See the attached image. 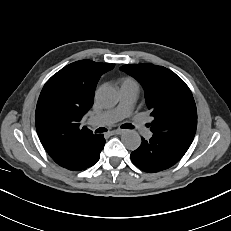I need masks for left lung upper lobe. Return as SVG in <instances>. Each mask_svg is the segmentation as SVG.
Instances as JSON below:
<instances>
[{
	"label": "left lung upper lobe",
	"mask_w": 231,
	"mask_h": 231,
	"mask_svg": "<svg viewBox=\"0 0 231 231\" xmlns=\"http://www.w3.org/2000/svg\"><path fill=\"white\" fill-rule=\"evenodd\" d=\"M120 70L137 79L145 90L153 134L189 147L197 127V110L186 83L171 70L153 64H129Z\"/></svg>",
	"instance_id": "obj_1"
}]
</instances>
